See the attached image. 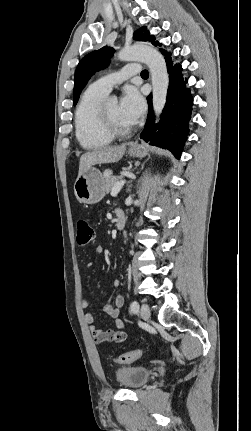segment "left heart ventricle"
Masks as SVG:
<instances>
[{"mask_svg":"<svg viewBox=\"0 0 251 431\" xmlns=\"http://www.w3.org/2000/svg\"><path fill=\"white\" fill-rule=\"evenodd\" d=\"M106 110L111 119L120 127H129L131 124L122 115L119 104L117 102H109L106 104Z\"/></svg>","mask_w":251,"mask_h":431,"instance_id":"left-heart-ventricle-1","label":"left heart ventricle"}]
</instances>
